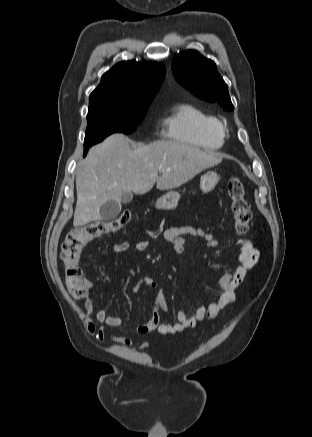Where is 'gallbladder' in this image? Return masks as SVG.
<instances>
[{
    "label": "gallbladder",
    "mask_w": 312,
    "mask_h": 437,
    "mask_svg": "<svg viewBox=\"0 0 312 437\" xmlns=\"http://www.w3.org/2000/svg\"><path fill=\"white\" fill-rule=\"evenodd\" d=\"M133 199L131 192H122L121 203L127 204ZM120 202L110 200L100 207V217L104 221L115 219L121 212Z\"/></svg>",
    "instance_id": "bac80fb5"
}]
</instances>
